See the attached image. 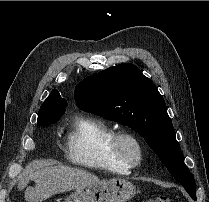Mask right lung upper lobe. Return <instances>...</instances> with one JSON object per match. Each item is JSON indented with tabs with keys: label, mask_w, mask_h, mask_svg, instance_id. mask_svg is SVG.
<instances>
[{
	"label": "right lung upper lobe",
	"mask_w": 209,
	"mask_h": 202,
	"mask_svg": "<svg viewBox=\"0 0 209 202\" xmlns=\"http://www.w3.org/2000/svg\"><path fill=\"white\" fill-rule=\"evenodd\" d=\"M66 106H67L66 100L61 98L59 92L56 89L52 90L49 97L41 105L42 110L53 109V108H65ZM37 124L41 126V124H46V121L44 119H38Z\"/></svg>",
	"instance_id": "obj_1"
}]
</instances>
